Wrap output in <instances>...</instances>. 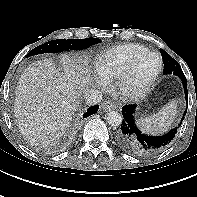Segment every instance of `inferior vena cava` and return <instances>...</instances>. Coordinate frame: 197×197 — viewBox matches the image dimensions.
<instances>
[{
    "label": "inferior vena cava",
    "instance_id": "602c4592",
    "mask_svg": "<svg viewBox=\"0 0 197 197\" xmlns=\"http://www.w3.org/2000/svg\"><path fill=\"white\" fill-rule=\"evenodd\" d=\"M84 98L88 105H95L102 100V93L96 89H87L84 92Z\"/></svg>",
    "mask_w": 197,
    "mask_h": 197
}]
</instances>
